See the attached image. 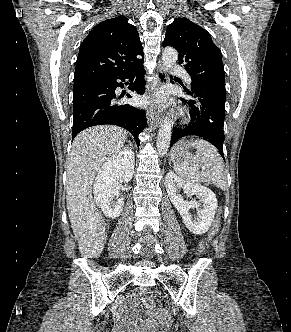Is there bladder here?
<instances>
[{
	"label": "bladder",
	"instance_id": "1",
	"mask_svg": "<svg viewBox=\"0 0 291 332\" xmlns=\"http://www.w3.org/2000/svg\"><path fill=\"white\" fill-rule=\"evenodd\" d=\"M152 332H165V331H152Z\"/></svg>",
	"mask_w": 291,
	"mask_h": 332
}]
</instances>
